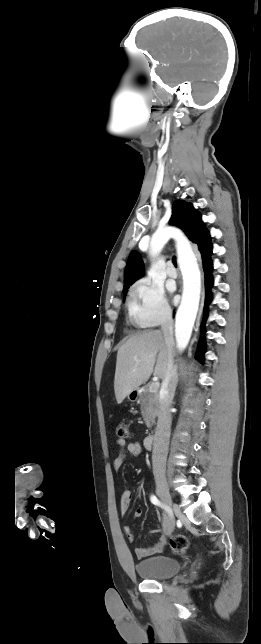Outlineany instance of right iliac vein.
<instances>
[{
	"instance_id": "63e3f726",
	"label": "right iliac vein",
	"mask_w": 261,
	"mask_h": 644,
	"mask_svg": "<svg viewBox=\"0 0 261 644\" xmlns=\"http://www.w3.org/2000/svg\"><path fill=\"white\" fill-rule=\"evenodd\" d=\"M156 486H157V493L160 496L161 500L166 505L170 506L173 509V511H174L176 516H178V517L181 516L182 513H181L180 509L172 502V498H171V495L169 493L166 481H165V479L163 477L158 476L156 478ZM174 527H175V520H174L173 517H171L169 519L168 525H167V527L165 529V533L166 534H171L173 532V530H174Z\"/></svg>"
}]
</instances>
